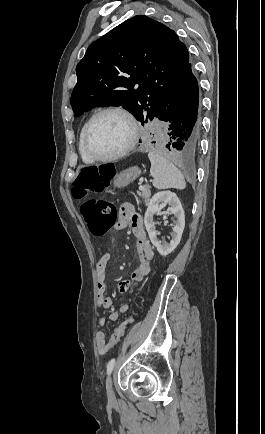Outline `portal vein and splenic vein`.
<instances>
[{
    "label": "portal vein and splenic vein",
    "mask_w": 265,
    "mask_h": 434,
    "mask_svg": "<svg viewBox=\"0 0 265 434\" xmlns=\"http://www.w3.org/2000/svg\"><path fill=\"white\" fill-rule=\"evenodd\" d=\"M139 190H144L143 186H141V184H139Z\"/></svg>",
    "instance_id": "1"
}]
</instances>
